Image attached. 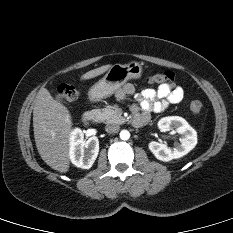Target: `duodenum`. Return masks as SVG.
Instances as JSON below:
<instances>
[{
    "instance_id": "duodenum-1",
    "label": "duodenum",
    "mask_w": 233,
    "mask_h": 233,
    "mask_svg": "<svg viewBox=\"0 0 233 233\" xmlns=\"http://www.w3.org/2000/svg\"><path fill=\"white\" fill-rule=\"evenodd\" d=\"M82 122L85 126L96 124L98 122L97 113L93 110L86 111L82 116ZM141 124L142 123L140 122L138 125Z\"/></svg>"
}]
</instances>
